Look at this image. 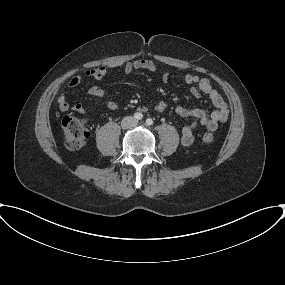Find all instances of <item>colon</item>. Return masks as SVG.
<instances>
[{
    "label": "colon",
    "instance_id": "colon-1",
    "mask_svg": "<svg viewBox=\"0 0 285 285\" xmlns=\"http://www.w3.org/2000/svg\"><path fill=\"white\" fill-rule=\"evenodd\" d=\"M61 127L64 134V142L68 149L77 150L87 143L89 131L82 119L67 115L62 119ZM202 140L205 144H211L215 140L214 134L205 132Z\"/></svg>",
    "mask_w": 285,
    "mask_h": 285
}]
</instances>
